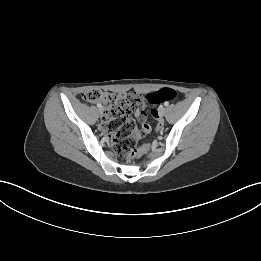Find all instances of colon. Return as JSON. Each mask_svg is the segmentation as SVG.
Returning a JSON list of instances; mask_svg holds the SVG:
<instances>
[{
	"mask_svg": "<svg viewBox=\"0 0 261 261\" xmlns=\"http://www.w3.org/2000/svg\"><path fill=\"white\" fill-rule=\"evenodd\" d=\"M147 102L157 104L164 100L173 101L177 98V92L171 88H164L157 92L145 96ZM84 99L89 103L97 101L103 102L106 108L105 120L102 122L103 130L113 137V146L115 151L122 156L133 158L147 151L146 146H138L137 138L144 133L138 132L134 122L131 120L133 104L126 97L109 93L99 89H90L84 93ZM153 117L158 118V111H151ZM159 128L155 133L157 136L162 132L164 124L163 118H158Z\"/></svg>",
	"mask_w": 261,
	"mask_h": 261,
	"instance_id": "1",
	"label": "colon"
}]
</instances>
